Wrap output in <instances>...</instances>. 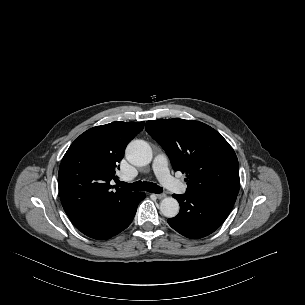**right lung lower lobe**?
Returning <instances> with one entry per match:
<instances>
[{
    "label": "right lung lower lobe",
    "mask_w": 305,
    "mask_h": 305,
    "mask_svg": "<svg viewBox=\"0 0 305 305\" xmlns=\"http://www.w3.org/2000/svg\"><path fill=\"white\" fill-rule=\"evenodd\" d=\"M145 193L134 192L129 198L112 207L94 212L84 218L72 221L86 236L105 240L117 235L132 222L137 206L145 198Z\"/></svg>",
    "instance_id": "1"
}]
</instances>
